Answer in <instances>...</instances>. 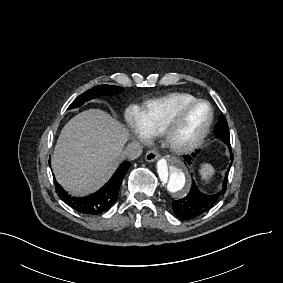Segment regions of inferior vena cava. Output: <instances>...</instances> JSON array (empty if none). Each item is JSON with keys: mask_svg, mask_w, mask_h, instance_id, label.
<instances>
[{"mask_svg": "<svg viewBox=\"0 0 283 283\" xmlns=\"http://www.w3.org/2000/svg\"><path fill=\"white\" fill-rule=\"evenodd\" d=\"M142 155V146L139 143L133 142L124 147L120 156L129 161L138 159Z\"/></svg>", "mask_w": 283, "mask_h": 283, "instance_id": "602c4592", "label": "inferior vena cava"}]
</instances>
